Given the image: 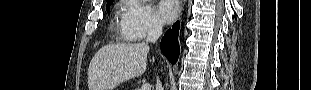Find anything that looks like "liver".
Listing matches in <instances>:
<instances>
[{
	"instance_id": "1",
	"label": "liver",
	"mask_w": 311,
	"mask_h": 90,
	"mask_svg": "<svg viewBox=\"0 0 311 90\" xmlns=\"http://www.w3.org/2000/svg\"><path fill=\"white\" fill-rule=\"evenodd\" d=\"M146 43L109 44L99 49L88 69L89 90H113L146 70ZM154 61V58H153Z\"/></svg>"
}]
</instances>
